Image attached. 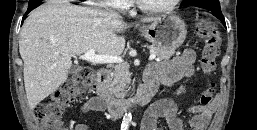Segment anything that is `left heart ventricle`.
<instances>
[{"label": "left heart ventricle", "instance_id": "1", "mask_svg": "<svg viewBox=\"0 0 257 130\" xmlns=\"http://www.w3.org/2000/svg\"><path fill=\"white\" fill-rule=\"evenodd\" d=\"M172 0H141V2L151 8L162 7L170 3Z\"/></svg>", "mask_w": 257, "mask_h": 130}]
</instances>
